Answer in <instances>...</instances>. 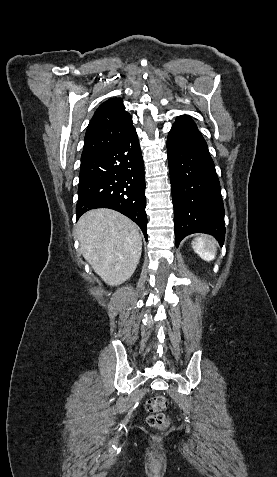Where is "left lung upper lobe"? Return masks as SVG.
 <instances>
[{
  "label": "left lung upper lobe",
  "mask_w": 277,
  "mask_h": 477,
  "mask_svg": "<svg viewBox=\"0 0 277 477\" xmlns=\"http://www.w3.org/2000/svg\"><path fill=\"white\" fill-rule=\"evenodd\" d=\"M180 117H188V116H186V115H182V116H180Z\"/></svg>",
  "instance_id": "left-lung-upper-lobe-1"
}]
</instances>
